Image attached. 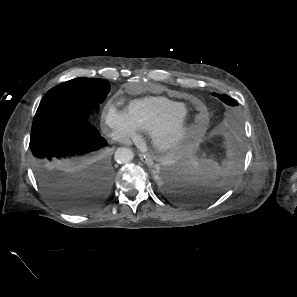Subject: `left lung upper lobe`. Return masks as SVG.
I'll return each instance as SVG.
<instances>
[{"label":"left lung upper lobe","mask_w":297,"mask_h":297,"mask_svg":"<svg viewBox=\"0 0 297 297\" xmlns=\"http://www.w3.org/2000/svg\"><path fill=\"white\" fill-rule=\"evenodd\" d=\"M214 96L218 97L221 101H223L225 104L229 105V106H237L238 103L232 99L231 97L227 96V95H220V94H216V93H213ZM230 121V118L227 119V123Z\"/></svg>","instance_id":"left-lung-upper-lobe-1"}]
</instances>
